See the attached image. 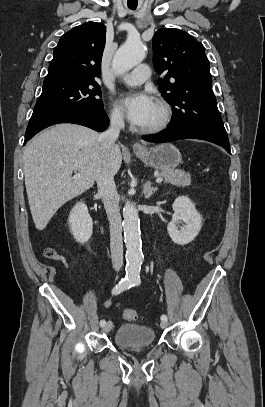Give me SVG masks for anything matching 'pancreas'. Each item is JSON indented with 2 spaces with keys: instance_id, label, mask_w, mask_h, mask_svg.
<instances>
[{
  "instance_id": "1",
  "label": "pancreas",
  "mask_w": 265,
  "mask_h": 407,
  "mask_svg": "<svg viewBox=\"0 0 265 407\" xmlns=\"http://www.w3.org/2000/svg\"><path fill=\"white\" fill-rule=\"evenodd\" d=\"M160 177H164L165 183L173 184L178 187L189 186L191 184V175L182 170L161 171Z\"/></svg>"
}]
</instances>
